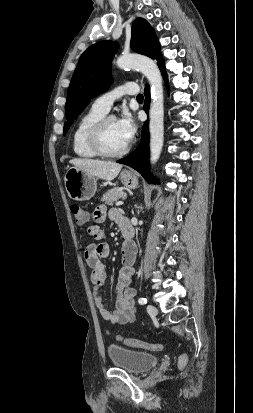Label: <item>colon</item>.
Here are the masks:
<instances>
[{"instance_id": "5ec220e1", "label": "colon", "mask_w": 253, "mask_h": 413, "mask_svg": "<svg viewBox=\"0 0 253 413\" xmlns=\"http://www.w3.org/2000/svg\"><path fill=\"white\" fill-rule=\"evenodd\" d=\"M70 212L75 220V222L79 225H83L87 221V214L86 212L82 209L77 204H73L70 206ZM117 339L124 343L125 345L135 347V348H140V349H145L149 351H163L164 346L162 344H154V343H148L144 342L141 340L133 339V338H123L121 336H117ZM188 361V358L186 355H183L180 360H179V365L181 367L185 366Z\"/></svg>"}]
</instances>
